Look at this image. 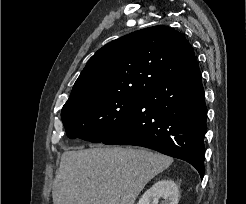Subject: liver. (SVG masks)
<instances>
[{
  "label": "liver",
  "mask_w": 246,
  "mask_h": 204,
  "mask_svg": "<svg viewBox=\"0 0 246 204\" xmlns=\"http://www.w3.org/2000/svg\"><path fill=\"white\" fill-rule=\"evenodd\" d=\"M173 158L146 149L66 150L53 182V204H134L144 186Z\"/></svg>",
  "instance_id": "obj_1"
}]
</instances>
